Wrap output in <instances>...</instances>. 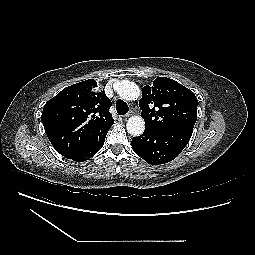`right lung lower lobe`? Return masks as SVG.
I'll use <instances>...</instances> for the list:
<instances>
[{
    "label": "right lung lower lobe",
    "mask_w": 255,
    "mask_h": 255,
    "mask_svg": "<svg viewBox=\"0 0 255 255\" xmlns=\"http://www.w3.org/2000/svg\"><path fill=\"white\" fill-rule=\"evenodd\" d=\"M108 130L109 129H105L93 133L65 157L77 162H82L91 158L103 147Z\"/></svg>",
    "instance_id": "right-lung-lower-lobe-1"
}]
</instances>
